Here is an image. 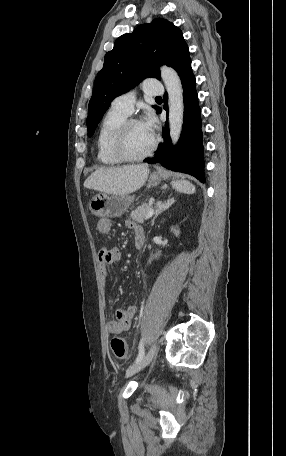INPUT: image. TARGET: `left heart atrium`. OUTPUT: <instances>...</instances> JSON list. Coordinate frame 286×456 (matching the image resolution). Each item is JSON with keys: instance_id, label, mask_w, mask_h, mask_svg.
Instances as JSON below:
<instances>
[{"instance_id": "1", "label": "left heart atrium", "mask_w": 286, "mask_h": 456, "mask_svg": "<svg viewBox=\"0 0 286 456\" xmlns=\"http://www.w3.org/2000/svg\"><path fill=\"white\" fill-rule=\"evenodd\" d=\"M142 124L148 130V132L152 136H154V133H155V130H156V127H157V122H156V119H155L154 115L151 112L147 113V115L145 117V120L143 121Z\"/></svg>"}]
</instances>
